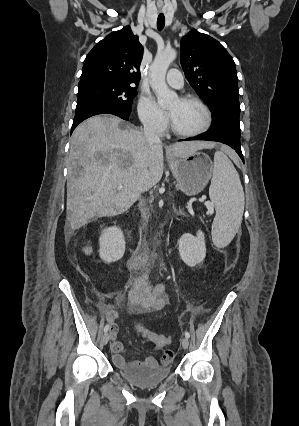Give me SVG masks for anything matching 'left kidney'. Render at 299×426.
<instances>
[{
    "instance_id": "1",
    "label": "left kidney",
    "mask_w": 299,
    "mask_h": 426,
    "mask_svg": "<svg viewBox=\"0 0 299 426\" xmlns=\"http://www.w3.org/2000/svg\"><path fill=\"white\" fill-rule=\"evenodd\" d=\"M179 254L183 262L194 267L204 261L206 256V245L204 233L199 230L196 236L185 233L179 239Z\"/></svg>"
}]
</instances>
